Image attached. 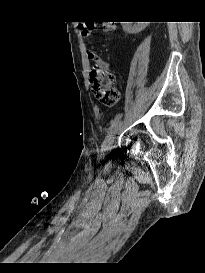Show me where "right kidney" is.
I'll return each instance as SVG.
<instances>
[{"label": "right kidney", "mask_w": 205, "mask_h": 273, "mask_svg": "<svg viewBox=\"0 0 205 273\" xmlns=\"http://www.w3.org/2000/svg\"><path fill=\"white\" fill-rule=\"evenodd\" d=\"M133 22H122L123 30L129 33H138L142 31L148 24V22H135L132 26Z\"/></svg>", "instance_id": "1"}]
</instances>
